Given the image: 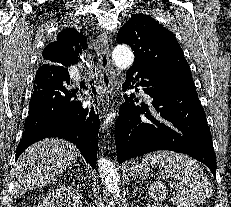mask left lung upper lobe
Wrapping results in <instances>:
<instances>
[{"label": "left lung upper lobe", "mask_w": 231, "mask_h": 207, "mask_svg": "<svg viewBox=\"0 0 231 207\" xmlns=\"http://www.w3.org/2000/svg\"><path fill=\"white\" fill-rule=\"evenodd\" d=\"M118 43L131 46L133 66L146 65L167 73L175 85L193 82L189 65L172 32L152 17L135 14L119 30Z\"/></svg>", "instance_id": "5c2ea615"}]
</instances>
